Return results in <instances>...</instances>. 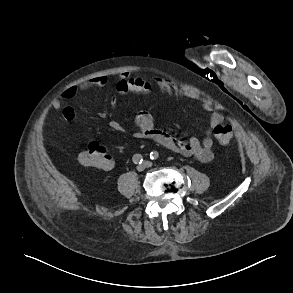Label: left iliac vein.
Returning <instances> with one entry per match:
<instances>
[{"mask_svg":"<svg viewBox=\"0 0 293 293\" xmlns=\"http://www.w3.org/2000/svg\"><path fill=\"white\" fill-rule=\"evenodd\" d=\"M143 164L145 165V167H151L152 163L149 161H144Z\"/></svg>","mask_w":293,"mask_h":293,"instance_id":"1","label":"left iliac vein"}]
</instances>
